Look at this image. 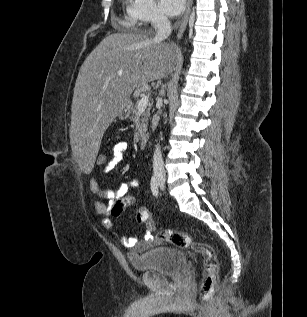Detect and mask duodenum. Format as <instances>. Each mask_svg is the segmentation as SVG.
Returning <instances> with one entry per match:
<instances>
[{
  "mask_svg": "<svg viewBox=\"0 0 307 317\" xmlns=\"http://www.w3.org/2000/svg\"><path fill=\"white\" fill-rule=\"evenodd\" d=\"M139 141H140V144H141L142 146H146L147 143H148V137H147L146 135L141 136V137L139 138Z\"/></svg>",
  "mask_w": 307,
  "mask_h": 317,
  "instance_id": "obj_1",
  "label": "duodenum"
}]
</instances>
